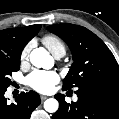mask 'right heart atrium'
<instances>
[{
  "instance_id": "right-heart-atrium-1",
  "label": "right heart atrium",
  "mask_w": 119,
  "mask_h": 119,
  "mask_svg": "<svg viewBox=\"0 0 119 119\" xmlns=\"http://www.w3.org/2000/svg\"><path fill=\"white\" fill-rule=\"evenodd\" d=\"M31 44H28L24 47L20 54V61L23 63L28 59L29 52H30Z\"/></svg>"
}]
</instances>
